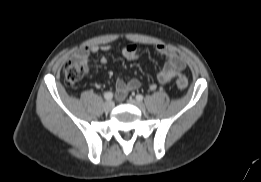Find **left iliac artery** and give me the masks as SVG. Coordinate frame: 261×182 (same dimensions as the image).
Instances as JSON below:
<instances>
[{
	"instance_id": "left-iliac-artery-1",
	"label": "left iliac artery",
	"mask_w": 261,
	"mask_h": 182,
	"mask_svg": "<svg viewBox=\"0 0 261 182\" xmlns=\"http://www.w3.org/2000/svg\"><path fill=\"white\" fill-rule=\"evenodd\" d=\"M136 99H137L138 101H142V100H143V95L137 94V95H136Z\"/></svg>"
}]
</instances>
